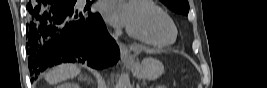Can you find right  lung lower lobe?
<instances>
[{"label": "right lung lower lobe", "instance_id": "1", "mask_svg": "<svg viewBox=\"0 0 267 88\" xmlns=\"http://www.w3.org/2000/svg\"><path fill=\"white\" fill-rule=\"evenodd\" d=\"M75 3L33 0L28 4L26 51L31 76L62 62H87L103 69L119 60V48L102 17L90 12L91 3L84 9H77Z\"/></svg>", "mask_w": 267, "mask_h": 88}]
</instances>
